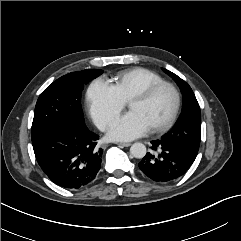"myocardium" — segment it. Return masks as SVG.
Segmentation results:
<instances>
[{"mask_svg": "<svg viewBox=\"0 0 241 241\" xmlns=\"http://www.w3.org/2000/svg\"><path fill=\"white\" fill-rule=\"evenodd\" d=\"M169 88L173 95H174V99H175V103H174V108L172 110V113L170 115V117L168 118V120L166 122H164L161 125H157L152 127V130L154 132H164L169 130L175 123L179 111H180V107H181V95L180 92L178 90V88L167 81H161L158 83H154L149 85L148 87L144 88L143 90H141L140 92L136 93L134 96L131 97V99L129 100V104L133 101H147L149 100L158 90L162 89V88Z\"/></svg>", "mask_w": 241, "mask_h": 241, "instance_id": "obj_1", "label": "myocardium"}]
</instances>
